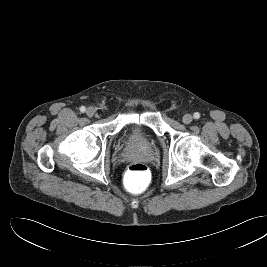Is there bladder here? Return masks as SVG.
<instances>
[{"mask_svg":"<svg viewBox=\"0 0 267 267\" xmlns=\"http://www.w3.org/2000/svg\"><path fill=\"white\" fill-rule=\"evenodd\" d=\"M139 127L137 125H131L125 128L122 132L123 138L131 143L139 144L142 142V139L138 133Z\"/></svg>","mask_w":267,"mask_h":267,"instance_id":"1","label":"bladder"}]
</instances>
